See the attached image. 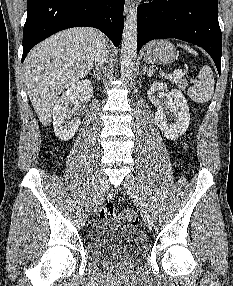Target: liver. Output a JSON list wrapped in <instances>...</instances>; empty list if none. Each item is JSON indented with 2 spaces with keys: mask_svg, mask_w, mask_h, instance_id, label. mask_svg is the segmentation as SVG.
I'll list each match as a JSON object with an SVG mask.
<instances>
[{
  "mask_svg": "<svg viewBox=\"0 0 233 286\" xmlns=\"http://www.w3.org/2000/svg\"><path fill=\"white\" fill-rule=\"evenodd\" d=\"M104 35L92 28L61 31L36 45L24 61L28 96L40 122L48 126L58 96L93 67Z\"/></svg>",
  "mask_w": 233,
  "mask_h": 286,
  "instance_id": "obj_1",
  "label": "liver"
}]
</instances>
